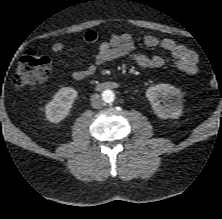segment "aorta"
Here are the masks:
<instances>
[{"label":"aorta","instance_id":"aorta-1","mask_svg":"<svg viewBox=\"0 0 222 219\" xmlns=\"http://www.w3.org/2000/svg\"><path fill=\"white\" fill-rule=\"evenodd\" d=\"M103 99H104L105 102L111 103L115 99V94L111 90H105L103 92Z\"/></svg>","mask_w":222,"mask_h":219}]
</instances>
